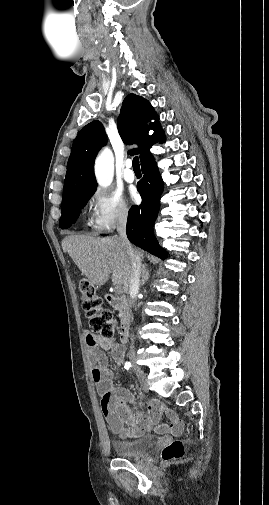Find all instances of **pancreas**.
Returning a JSON list of instances; mask_svg holds the SVG:
<instances>
[{
    "label": "pancreas",
    "mask_w": 269,
    "mask_h": 505,
    "mask_svg": "<svg viewBox=\"0 0 269 505\" xmlns=\"http://www.w3.org/2000/svg\"><path fill=\"white\" fill-rule=\"evenodd\" d=\"M118 316H119V318H122V315H121L120 313H119V315H118Z\"/></svg>",
    "instance_id": "cf45deb5"
}]
</instances>
